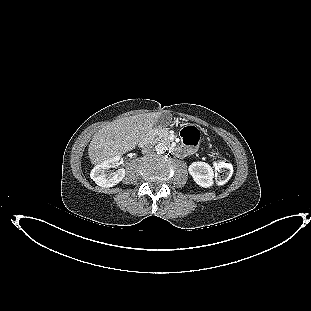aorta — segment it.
I'll return each mask as SVG.
<instances>
[{"mask_svg":"<svg viewBox=\"0 0 311 311\" xmlns=\"http://www.w3.org/2000/svg\"><path fill=\"white\" fill-rule=\"evenodd\" d=\"M167 150V147L164 143H159L155 146V151L158 153V154H162L164 153L165 151Z\"/></svg>","mask_w":311,"mask_h":311,"instance_id":"obj_1","label":"aorta"}]
</instances>
